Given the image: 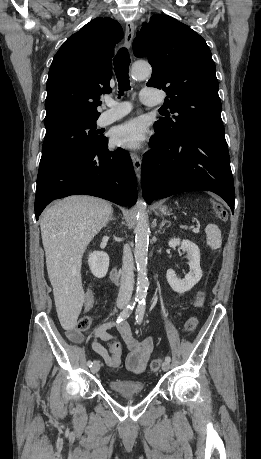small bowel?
I'll return each instance as SVG.
<instances>
[{
    "mask_svg": "<svg viewBox=\"0 0 261 459\" xmlns=\"http://www.w3.org/2000/svg\"><path fill=\"white\" fill-rule=\"evenodd\" d=\"M93 305L94 289L90 286L84 296V311H89ZM112 328L117 329L120 338L124 341L129 350L125 359L127 369L132 373H142L146 369L150 355L153 351V339L151 337H146L143 340L136 339L129 323L125 320L121 322L112 320L97 327L92 334V349L103 358L107 366L113 368V355L111 356L106 348L100 343V341L115 340L117 338L115 335L109 333V330ZM67 337L74 343H81L83 341L82 334L75 329L70 330Z\"/></svg>",
    "mask_w": 261,
    "mask_h": 459,
    "instance_id": "c3829d8e",
    "label": "small bowel"
}]
</instances>
